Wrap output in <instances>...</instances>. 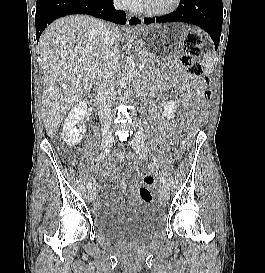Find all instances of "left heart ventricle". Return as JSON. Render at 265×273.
Segmentation results:
<instances>
[{"label":"left heart ventricle","instance_id":"b2bd125f","mask_svg":"<svg viewBox=\"0 0 265 273\" xmlns=\"http://www.w3.org/2000/svg\"><path fill=\"white\" fill-rule=\"evenodd\" d=\"M172 0H146L144 3L155 9H162L171 4Z\"/></svg>","mask_w":265,"mask_h":273}]
</instances>
